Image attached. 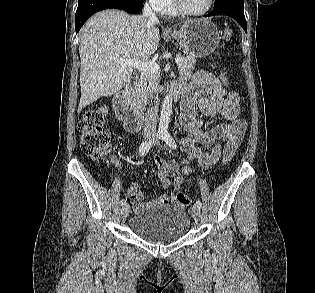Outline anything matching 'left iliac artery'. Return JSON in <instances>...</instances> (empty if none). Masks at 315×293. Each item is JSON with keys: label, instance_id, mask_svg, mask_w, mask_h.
Instances as JSON below:
<instances>
[{"label": "left iliac artery", "instance_id": "left-iliac-artery-1", "mask_svg": "<svg viewBox=\"0 0 315 293\" xmlns=\"http://www.w3.org/2000/svg\"><path fill=\"white\" fill-rule=\"evenodd\" d=\"M161 139H162L163 141H165V143H166L170 148H172V149H176V148H177L176 142H175L174 138L172 137V135H171L169 132H167V131L162 132V134H161ZM196 206L199 207V208H201V207H202V203H201L199 200H197V201H196Z\"/></svg>", "mask_w": 315, "mask_h": 293}]
</instances>
